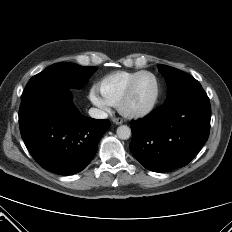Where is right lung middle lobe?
<instances>
[{"instance_id": "right-lung-middle-lobe-1", "label": "right lung middle lobe", "mask_w": 232, "mask_h": 232, "mask_svg": "<svg viewBox=\"0 0 232 232\" xmlns=\"http://www.w3.org/2000/svg\"><path fill=\"white\" fill-rule=\"evenodd\" d=\"M96 69L72 63L53 64L29 80L22 98L49 88H82Z\"/></svg>"}]
</instances>
